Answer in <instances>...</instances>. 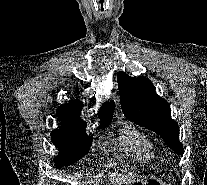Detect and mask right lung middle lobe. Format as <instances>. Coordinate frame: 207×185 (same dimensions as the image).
<instances>
[{"label": "right lung middle lobe", "instance_id": "right-lung-middle-lobe-1", "mask_svg": "<svg viewBox=\"0 0 207 185\" xmlns=\"http://www.w3.org/2000/svg\"><path fill=\"white\" fill-rule=\"evenodd\" d=\"M51 139L59 150L54 158L56 167L71 165L86 155L93 138L86 134L85 128L63 125L51 133Z\"/></svg>", "mask_w": 207, "mask_h": 185}]
</instances>
